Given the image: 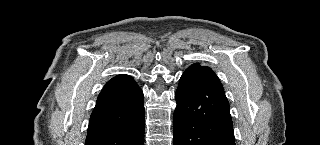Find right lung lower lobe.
Instances as JSON below:
<instances>
[{
    "label": "right lung lower lobe",
    "instance_id": "right-lung-lower-lobe-1",
    "mask_svg": "<svg viewBox=\"0 0 320 145\" xmlns=\"http://www.w3.org/2000/svg\"><path fill=\"white\" fill-rule=\"evenodd\" d=\"M144 97L128 75L111 79L98 96L85 145H144Z\"/></svg>",
    "mask_w": 320,
    "mask_h": 145
}]
</instances>
